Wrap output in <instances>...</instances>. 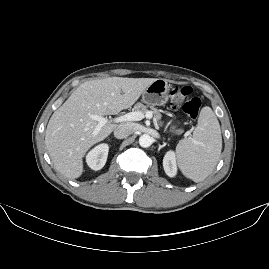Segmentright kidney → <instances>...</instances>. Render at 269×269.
<instances>
[{
    "label": "right kidney",
    "instance_id": "ca27d5eb",
    "mask_svg": "<svg viewBox=\"0 0 269 269\" xmlns=\"http://www.w3.org/2000/svg\"><path fill=\"white\" fill-rule=\"evenodd\" d=\"M108 150L109 148L107 145L97 146L89 153L87 157L88 165L94 170L101 169L107 161Z\"/></svg>",
    "mask_w": 269,
    "mask_h": 269
}]
</instances>
